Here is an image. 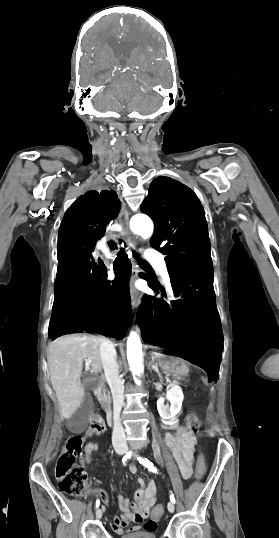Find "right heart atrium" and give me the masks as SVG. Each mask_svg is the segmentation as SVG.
Here are the masks:
<instances>
[{"mask_svg": "<svg viewBox=\"0 0 279 538\" xmlns=\"http://www.w3.org/2000/svg\"><path fill=\"white\" fill-rule=\"evenodd\" d=\"M142 236H143V237H146V236H147V234H146V233H144V234H142Z\"/></svg>", "mask_w": 279, "mask_h": 538, "instance_id": "right-heart-atrium-1", "label": "right heart atrium"}]
</instances>
